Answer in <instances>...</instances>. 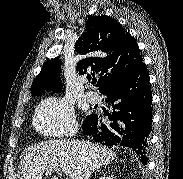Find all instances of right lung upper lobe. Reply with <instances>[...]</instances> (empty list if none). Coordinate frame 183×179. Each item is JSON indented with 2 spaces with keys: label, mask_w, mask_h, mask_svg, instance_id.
Listing matches in <instances>:
<instances>
[{
  "label": "right lung upper lobe",
  "mask_w": 183,
  "mask_h": 179,
  "mask_svg": "<svg viewBox=\"0 0 183 179\" xmlns=\"http://www.w3.org/2000/svg\"><path fill=\"white\" fill-rule=\"evenodd\" d=\"M79 55L76 71L91 79L100 73L99 90L134 73L142 64L137 42L115 19L105 15L88 19L86 29L75 43ZM59 58L47 61L31 85L33 96L45 91L61 92Z\"/></svg>",
  "instance_id": "obj_1"
}]
</instances>
